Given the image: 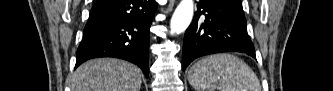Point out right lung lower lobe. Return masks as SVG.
<instances>
[{"label": "right lung lower lobe", "instance_id": "98d812e1", "mask_svg": "<svg viewBox=\"0 0 333 91\" xmlns=\"http://www.w3.org/2000/svg\"><path fill=\"white\" fill-rule=\"evenodd\" d=\"M154 0H98L84 28L76 66L91 58L116 57L149 74V29Z\"/></svg>", "mask_w": 333, "mask_h": 91}]
</instances>
